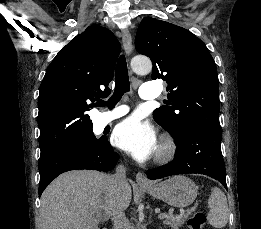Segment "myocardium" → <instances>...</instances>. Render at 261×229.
I'll return each instance as SVG.
<instances>
[{
    "instance_id": "1",
    "label": "myocardium",
    "mask_w": 261,
    "mask_h": 229,
    "mask_svg": "<svg viewBox=\"0 0 261 229\" xmlns=\"http://www.w3.org/2000/svg\"><path fill=\"white\" fill-rule=\"evenodd\" d=\"M176 153V145L172 137L164 135L155 155V162L159 164L169 162Z\"/></svg>"
}]
</instances>
